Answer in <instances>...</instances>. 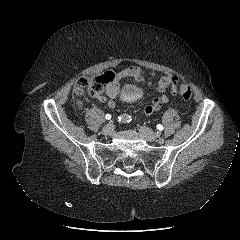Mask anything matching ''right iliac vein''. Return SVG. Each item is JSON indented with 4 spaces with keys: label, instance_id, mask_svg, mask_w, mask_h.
Instances as JSON below:
<instances>
[{
    "label": "right iliac vein",
    "instance_id": "right-iliac-vein-1",
    "mask_svg": "<svg viewBox=\"0 0 240 240\" xmlns=\"http://www.w3.org/2000/svg\"><path fill=\"white\" fill-rule=\"evenodd\" d=\"M113 127H114L113 123L106 124L102 129L103 134L105 135L111 134L113 131Z\"/></svg>",
    "mask_w": 240,
    "mask_h": 240
}]
</instances>
